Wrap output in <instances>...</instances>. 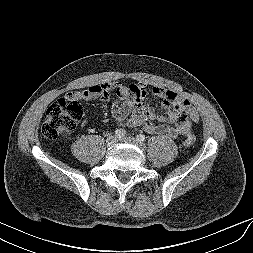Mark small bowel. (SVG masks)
<instances>
[{
    "label": "small bowel",
    "mask_w": 253,
    "mask_h": 253,
    "mask_svg": "<svg viewBox=\"0 0 253 253\" xmlns=\"http://www.w3.org/2000/svg\"><path fill=\"white\" fill-rule=\"evenodd\" d=\"M112 91H115L116 98L111 112L118 125L142 127L148 133L175 138L191 135L193 124L199 121V114L188 99L159 86L152 87L151 93L161 99V108L165 113H156L148 105L146 85L142 82L130 85L104 82L85 90L71 91L66 98L77 101L105 100Z\"/></svg>",
    "instance_id": "1"
}]
</instances>
